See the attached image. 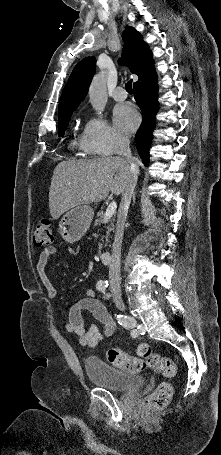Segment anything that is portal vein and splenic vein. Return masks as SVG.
I'll return each mask as SVG.
<instances>
[{"mask_svg": "<svg viewBox=\"0 0 221 455\" xmlns=\"http://www.w3.org/2000/svg\"><path fill=\"white\" fill-rule=\"evenodd\" d=\"M116 208H117L116 202L110 203L104 214V220H106V221L109 220L116 212Z\"/></svg>", "mask_w": 221, "mask_h": 455, "instance_id": "obj_1", "label": "portal vein and splenic vein"}]
</instances>
